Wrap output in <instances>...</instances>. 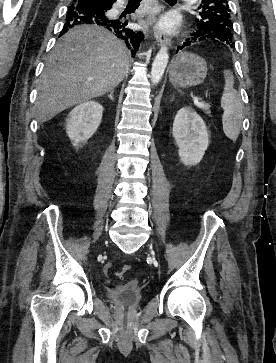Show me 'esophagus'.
I'll return each instance as SVG.
<instances>
[{"mask_svg":"<svg viewBox=\"0 0 276 363\" xmlns=\"http://www.w3.org/2000/svg\"><path fill=\"white\" fill-rule=\"evenodd\" d=\"M147 2L153 6V8L151 9V11L146 19L147 23L151 24L155 20V15L159 12V6L155 2V0H147ZM154 36H155L156 41L160 45H165L168 47L171 45L169 36L166 35L164 32H162L161 30H159L158 28H155Z\"/></svg>","mask_w":276,"mask_h":363,"instance_id":"34e87169","label":"esophagus"}]
</instances>
